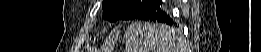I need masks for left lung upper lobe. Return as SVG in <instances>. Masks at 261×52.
<instances>
[{
  "instance_id": "obj_1",
  "label": "left lung upper lobe",
  "mask_w": 261,
  "mask_h": 52,
  "mask_svg": "<svg viewBox=\"0 0 261 52\" xmlns=\"http://www.w3.org/2000/svg\"><path fill=\"white\" fill-rule=\"evenodd\" d=\"M155 2L154 0H103V17L111 22L135 19Z\"/></svg>"
}]
</instances>
